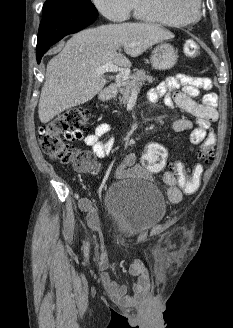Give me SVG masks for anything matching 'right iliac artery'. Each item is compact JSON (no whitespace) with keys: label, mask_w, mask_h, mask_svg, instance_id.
Here are the masks:
<instances>
[{"label":"right iliac artery","mask_w":233,"mask_h":328,"mask_svg":"<svg viewBox=\"0 0 233 328\" xmlns=\"http://www.w3.org/2000/svg\"><path fill=\"white\" fill-rule=\"evenodd\" d=\"M88 250H89L88 245H86V246H85V250H84L86 255H87V253H88Z\"/></svg>","instance_id":"right-iliac-artery-1"}]
</instances>
